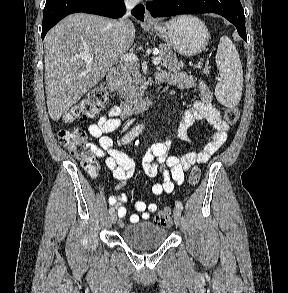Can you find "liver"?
I'll return each instance as SVG.
<instances>
[{"mask_svg": "<svg viewBox=\"0 0 288 293\" xmlns=\"http://www.w3.org/2000/svg\"><path fill=\"white\" fill-rule=\"evenodd\" d=\"M115 20L85 13L65 17L45 37V88L48 112L58 121L89 89L104 78L133 44L135 27L126 21L119 32ZM94 55L92 61L81 58Z\"/></svg>", "mask_w": 288, "mask_h": 293, "instance_id": "1", "label": "liver"}]
</instances>
